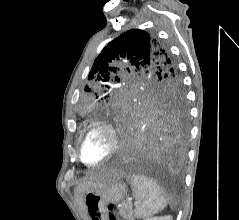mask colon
Returning <instances> with one entry per match:
<instances>
[{"instance_id": "obj_1", "label": "colon", "mask_w": 239, "mask_h": 220, "mask_svg": "<svg viewBox=\"0 0 239 220\" xmlns=\"http://www.w3.org/2000/svg\"><path fill=\"white\" fill-rule=\"evenodd\" d=\"M93 220H97V219H93ZM110 220H117L113 214H110Z\"/></svg>"}]
</instances>
